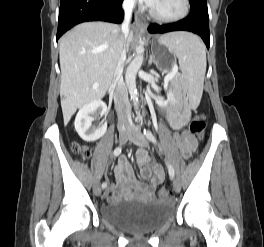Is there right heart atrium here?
Returning <instances> with one entry per match:
<instances>
[{"mask_svg":"<svg viewBox=\"0 0 264 247\" xmlns=\"http://www.w3.org/2000/svg\"><path fill=\"white\" fill-rule=\"evenodd\" d=\"M124 3H125L127 6L131 7V6L134 5V0H124Z\"/></svg>","mask_w":264,"mask_h":247,"instance_id":"d8ad5b80","label":"right heart atrium"}]
</instances>
